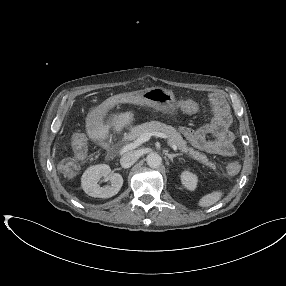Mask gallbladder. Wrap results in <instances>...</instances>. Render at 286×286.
I'll list each match as a JSON object with an SVG mask.
<instances>
[{"mask_svg": "<svg viewBox=\"0 0 286 286\" xmlns=\"http://www.w3.org/2000/svg\"><path fill=\"white\" fill-rule=\"evenodd\" d=\"M91 116H93V112L90 114V116H89L88 120H90Z\"/></svg>", "mask_w": 286, "mask_h": 286, "instance_id": "gallbladder-1", "label": "gallbladder"}]
</instances>
